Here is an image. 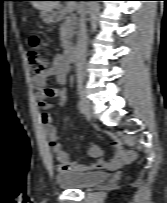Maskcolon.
I'll return each mask as SVG.
<instances>
[{
	"mask_svg": "<svg viewBox=\"0 0 167 203\" xmlns=\"http://www.w3.org/2000/svg\"><path fill=\"white\" fill-rule=\"evenodd\" d=\"M39 41L36 37L29 40L28 60L30 69L34 74H42L50 67L48 57L39 51ZM124 157L127 162H130L136 157L134 151H125Z\"/></svg>",
	"mask_w": 167,
	"mask_h": 203,
	"instance_id": "5ec220e1",
	"label": "colon"
}]
</instances>
